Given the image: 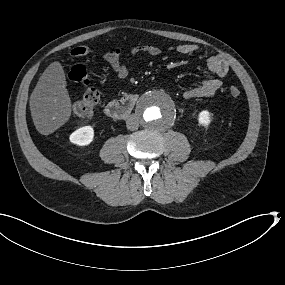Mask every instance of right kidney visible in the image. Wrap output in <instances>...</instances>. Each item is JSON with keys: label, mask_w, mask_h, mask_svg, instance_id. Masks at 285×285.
I'll return each instance as SVG.
<instances>
[{"label": "right kidney", "mask_w": 285, "mask_h": 285, "mask_svg": "<svg viewBox=\"0 0 285 285\" xmlns=\"http://www.w3.org/2000/svg\"><path fill=\"white\" fill-rule=\"evenodd\" d=\"M94 138L95 131L90 125L82 126L69 135V141L79 147L90 145Z\"/></svg>", "instance_id": "right-kidney-1"}]
</instances>
